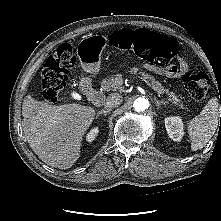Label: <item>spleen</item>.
Here are the masks:
<instances>
[{"mask_svg": "<svg viewBox=\"0 0 221 221\" xmlns=\"http://www.w3.org/2000/svg\"><path fill=\"white\" fill-rule=\"evenodd\" d=\"M218 116L221 117V107H219L217 98H212L200 115L189 122L187 130L192 151L202 149L215 134L219 125Z\"/></svg>", "mask_w": 221, "mask_h": 221, "instance_id": "spleen-1", "label": "spleen"}]
</instances>
